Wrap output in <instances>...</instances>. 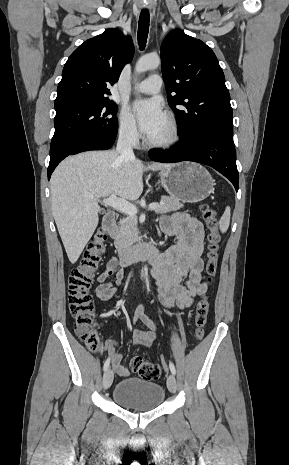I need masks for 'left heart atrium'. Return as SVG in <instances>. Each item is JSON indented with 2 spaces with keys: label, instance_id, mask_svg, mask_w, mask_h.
Wrapping results in <instances>:
<instances>
[{
  "label": "left heart atrium",
  "instance_id": "1",
  "mask_svg": "<svg viewBox=\"0 0 289 465\" xmlns=\"http://www.w3.org/2000/svg\"><path fill=\"white\" fill-rule=\"evenodd\" d=\"M133 110L137 116L142 132L150 137L162 127L166 115L161 103L156 99L135 102Z\"/></svg>",
  "mask_w": 289,
  "mask_h": 465
}]
</instances>
